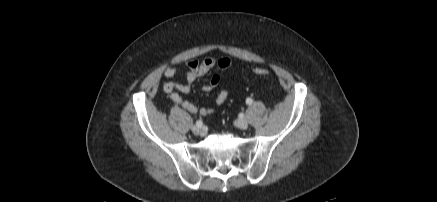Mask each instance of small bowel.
I'll use <instances>...</instances> for the list:
<instances>
[{"mask_svg":"<svg viewBox=\"0 0 437 202\" xmlns=\"http://www.w3.org/2000/svg\"><path fill=\"white\" fill-rule=\"evenodd\" d=\"M187 70L185 71L186 83H176L172 81L164 82L162 85L163 90L169 94L171 100L176 104L180 105L186 111L192 114H198L200 116H207L213 113V108L198 107L188 100H184L181 94H188L191 92L194 82L207 74L214 68L219 71L228 70L231 67V60L227 57L214 58L208 57L202 61L189 60L186 63ZM178 74L177 68L173 66H168L164 75L167 78H173ZM220 77L218 74H214L209 82L202 86L203 92H210L219 84ZM228 91L223 89L219 91L215 96V102L218 105L223 104L228 98Z\"/></svg>","mask_w":437,"mask_h":202,"instance_id":"1","label":"small bowel"}]
</instances>
